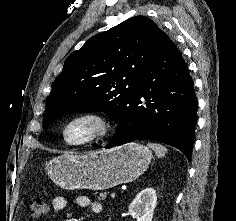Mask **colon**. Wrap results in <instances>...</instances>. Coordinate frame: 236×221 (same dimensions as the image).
Listing matches in <instances>:
<instances>
[{"label": "colon", "instance_id": "colon-1", "mask_svg": "<svg viewBox=\"0 0 236 221\" xmlns=\"http://www.w3.org/2000/svg\"><path fill=\"white\" fill-rule=\"evenodd\" d=\"M28 207L32 217L40 218L46 211V203L40 197H32L28 201Z\"/></svg>", "mask_w": 236, "mask_h": 221}]
</instances>
